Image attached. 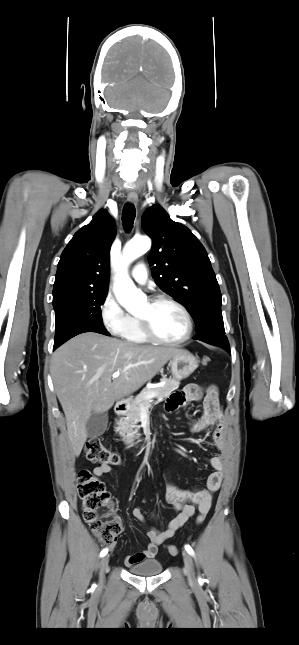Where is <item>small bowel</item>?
Masks as SVG:
<instances>
[{
	"label": "small bowel",
	"instance_id": "c3829d8e",
	"mask_svg": "<svg viewBox=\"0 0 299 645\" xmlns=\"http://www.w3.org/2000/svg\"><path fill=\"white\" fill-rule=\"evenodd\" d=\"M196 401H202L203 414L200 418L191 422V432L197 433L215 426L212 443L223 453L226 448V440L222 424V411L218 398V389L215 386H211L208 392L203 395L199 385L189 384L168 399L166 410L173 412L178 409H185L190 403ZM207 462L212 472L208 475L205 487L202 489H181L168 480L165 498L172 505V508L178 511V514L170 520L164 530L150 527L147 532L149 543L146 550L127 556L124 560L126 566L131 567L140 562L153 559L157 555L160 545L173 537L176 531L196 512L208 513L213 496L221 485L223 477V454L212 456L207 459ZM111 470V465L103 464L95 467L93 473L95 476H103ZM141 502L145 503L146 500L142 499ZM132 514L141 523L146 522L141 508L135 507Z\"/></svg>",
	"mask_w": 299,
	"mask_h": 645
}]
</instances>
